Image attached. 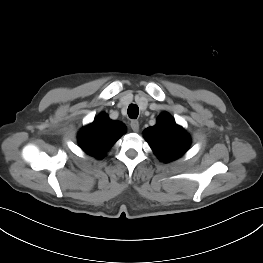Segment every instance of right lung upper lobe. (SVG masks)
I'll return each instance as SVG.
<instances>
[{
  "label": "right lung upper lobe",
  "instance_id": "1",
  "mask_svg": "<svg viewBox=\"0 0 263 263\" xmlns=\"http://www.w3.org/2000/svg\"><path fill=\"white\" fill-rule=\"evenodd\" d=\"M125 132V126L101 113L99 119L84 127L78 134L79 146L89 155L103 158Z\"/></svg>",
  "mask_w": 263,
  "mask_h": 263
}]
</instances>
